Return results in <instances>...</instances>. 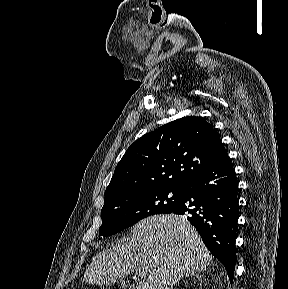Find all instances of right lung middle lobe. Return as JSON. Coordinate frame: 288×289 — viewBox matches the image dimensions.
I'll return each instance as SVG.
<instances>
[{
	"label": "right lung middle lobe",
	"mask_w": 288,
	"mask_h": 289,
	"mask_svg": "<svg viewBox=\"0 0 288 289\" xmlns=\"http://www.w3.org/2000/svg\"><path fill=\"white\" fill-rule=\"evenodd\" d=\"M182 198V188H152L106 197L101 210L99 234L107 237L145 217L169 213Z\"/></svg>",
	"instance_id": "1"
}]
</instances>
